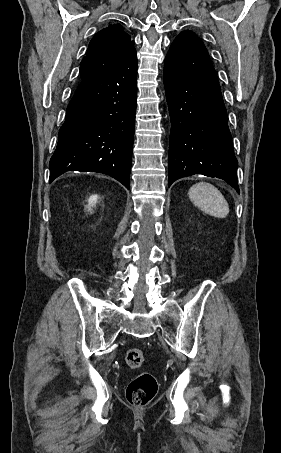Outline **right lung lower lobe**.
I'll use <instances>...</instances> for the list:
<instances>
[{
    "instance_id": "obj_1",
    "label": "right lung lower lobe",
    "mask_w": 281,
    "mask_h": 453,
    "mask_svg": "<svg viewBox=\"0 0 281 453\" xmlns=\"http://www.w3.org/2000/svg\"><path fill=\"white\" fill-rule=\"evenodd\" d=\"M137 98V56L81 80L50 159V183L67 171L112 176L129 189Z\"/></svg>"
}]
</instances>
